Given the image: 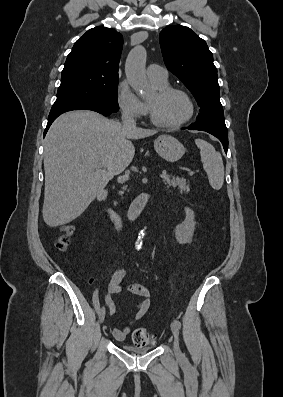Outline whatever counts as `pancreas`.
<instances>
[{
    "label": "pancreas",
    "instance_id": "1",
    "mask_svg": "<svg viewBox=\"0 0 283 397\" xmlns=\"http://www.w3.org/2000/svg\"><path fill=\"white\" fill-rule=\"evenodd\" d=\"M163 182L167 185V187L178 188L181 192H190V185L186 182L184 178L176 177V178H167L164 179Z\"/></svg>",
    "mask_w": 283,
    "mask_h": 397
}]
</instances>
